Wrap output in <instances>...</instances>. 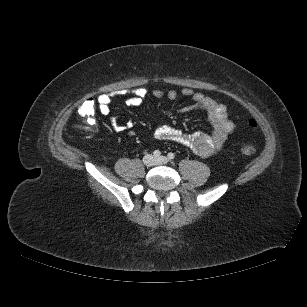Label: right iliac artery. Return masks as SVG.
Returning a JSON list of instances; mask_svg holds the SVG:
<instances>
[{"instance_id":"right-iliac-artery-1","label":"right iliac artery","mask_w":307,"mask_h":307,"mask_svg":"<svg viewBox=\"0 0 307 307\" xmlns=\"http://www.w3.org/2000/svg\"><path fill=\"white\" fill-rule=\"evenodd\" d=\"M160 155H161V152H160L159 150H155V151L153 152V156H154L155 158H159Z\"/></svg>"}]
</instances>
